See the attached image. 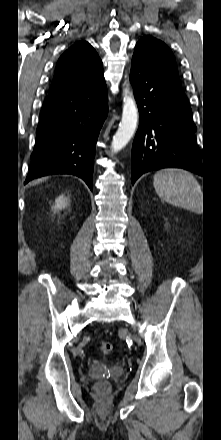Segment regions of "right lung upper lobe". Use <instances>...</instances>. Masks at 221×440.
<instances>
[{
	"label": "right lung upper lobe",
	"mask_w": 221,
	"mask_h": 440,
	"mask_svg": "<svg viewBox=\"0 0 221 440\" xmlns=\"http://www.w3.org/2000/svg\"><path fill=\"white\" fill-rule=\"evenodd\" d=\"M102 82L101 59L88 42L79 41L59 58L49 94L93 88Z\"/></svg>",
	"instance_id": "cb5924a9"
}]
</instances>
